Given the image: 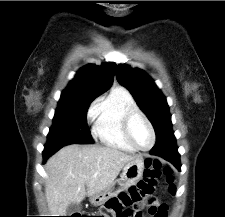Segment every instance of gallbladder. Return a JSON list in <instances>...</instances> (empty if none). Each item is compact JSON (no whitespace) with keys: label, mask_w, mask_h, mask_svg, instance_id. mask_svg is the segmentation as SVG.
Here are the masks:
<instances>
[{"label":"gallbladder","mask_w":225,"mask_h":217,"mask_svg":"<svg viewBox=\"0 0 225 217\" xmlns=\"http://www.w3.org/2000/svg\"><path fill=\"white\" fill-rule=\"evenodd\" d=\"M82 205L80 203H70L67 207V216H72L75 213H80Z\"/></svg>","instance_id":"bac80fb5"}]
</instances>
